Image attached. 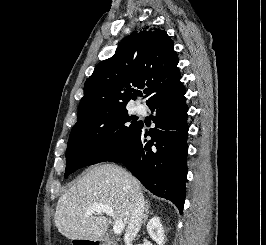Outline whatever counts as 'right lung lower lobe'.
Instances as JSON below:
<instances>
[{
	"instance_id": "98d812e1",
	"label": "right lung lower lobe",
	"mask_w": 266,
	"mask_h": 245,
	"mask_svg": "<svg viewBox=\"0 0 266 245\" xmlns=\"http://www.w3.org/2000/svg\"><path fill=\"white\" fill-rule=\"evenodd\" d=\"M186 90L181 82L148 105L155 128L139 123L130 145L108 161L122 163L153 194L172 201L183 213L188 151ZM150 136L151 140L146 138Z\"/></svg>"
}]
</instances>
